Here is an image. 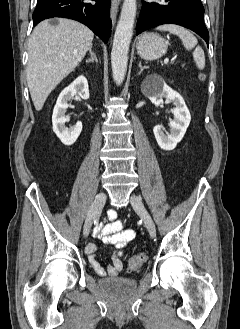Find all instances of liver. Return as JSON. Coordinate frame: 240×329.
<instances>
[{
	"mask_svg": "<svg viewBox=\"0 0 240 329\" xmlns=\"http://www.w3.org/2000/svg\"><path fill=\"white\" fill-rule=\"evenodd\" d=\"M38 24L28 43L27 84L37 111L55 87L79 65L92 47L94 34L69 19Z\"/></svg>",
	"mask_w": 240,
	"mask_h": 329,
	"instance_id": "1",
	"label": "liver"
}]
</instances>
